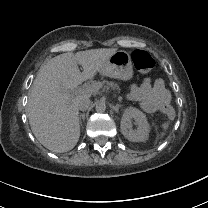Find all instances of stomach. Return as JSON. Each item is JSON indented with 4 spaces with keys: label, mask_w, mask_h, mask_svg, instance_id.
I'll list each match as a JSON object with an SVG mask.
<instances>
[{
    "label": "stomach",
    "mask_w": 208,
    "mask_h": 208,
    "mask_svg": "<svg viewBox=\"0 0 208 208\" xmlns=\"http://www.w3.org/2000/svg\"><path fill=\"white\" fill-rule=\"evenodd\" d=\"M103 75L129 82L133 79L134 69L131 56L124 50L116 51L100 71Z\"/></svg>",
    "instance_id": "stomach-1"
}]
</instances>
